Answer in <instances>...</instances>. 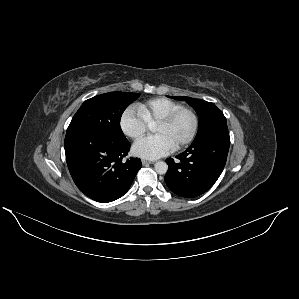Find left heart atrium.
<instances>
[{"label": "left heart atrium", "mask_w": 299, "mask_h": 299, "mask_svg": "<svg viewBox=\"0 0 299 299\" xmlns=\"http://www.w3.org/2000/svg\"><path fill=\"white\" fill-rule=\"evenodd\" d=\"M175 146L163 134H156L138 140L133 145V153L144 159H158L173 151Z\"/></svg>", "instance_id": "obj_1"}]
</instances>
